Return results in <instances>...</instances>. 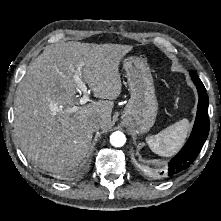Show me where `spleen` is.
I'll return each instance as SVG.
<instances>
[{"mask_svg": "<svg viewBox=\"0 0 221 221\" xmlns=\"http://www.w3.org/2000/svg\"><path fill=\"white\" fill-rule=\"evenodd\" d=\"M189 129L188 119H182L160 133L148 136L146 142L154 153L159 156L169 157L180 149L185 142Z\"/></svg>", "mask_w": 221, "mask_h": 221, "instance_id": "1", "label": "spleen"}]
</instances>
